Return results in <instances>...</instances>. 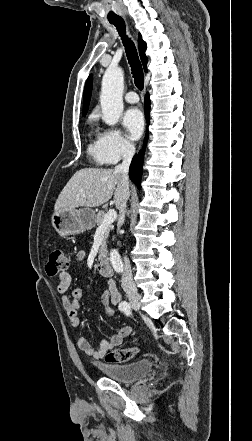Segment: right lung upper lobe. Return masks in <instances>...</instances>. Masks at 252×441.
<instances>
[{
    "mask_svg": "<svg viewBox=\"0 0 252 441\" xmlns=\"http://www.w3.org/2000/svg\"><path fill=\"white\" fill-rule=\"evenodd\" d=\"M138 45H139V54H140V58L143 64V68L146 71L147 68V57L145 55V50H146V43L142 40L141 35L139 34L138 37ZM91 91H92V75L89 76L86 85H85V89H84V100H83V116L86 115L87 111H88V106H89V102H90V97H91Z\"/></svg>",
    "mask_w": 252,
    "mask_h": 441,
    "instance_id": "right-lung-upper-lobe-1",
    "label": "right lung upper lobe"
}]
</instances>
